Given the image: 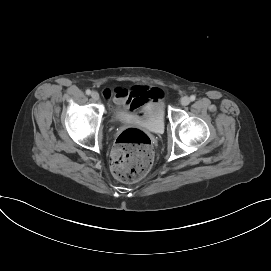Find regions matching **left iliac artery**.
Wrapping results in <instances>:
<instances>
[{
  "label": "left iliac artery",
  "mask_w": 271,
  "mask_h": 271,
  "mask_svg": "<svg viewBox=\"0 0 271 271\" xmlns=\"http://www.w3.org/2000/svg\"><path fill=\"white\" fill-rule=\"evenodd\" d=\"M195 99H196V96H195V95H191V96H190V100H191V101H194Z\"/></svg>",
  "instance_id": "left-iliac-artery-1"
}]
</instances>
